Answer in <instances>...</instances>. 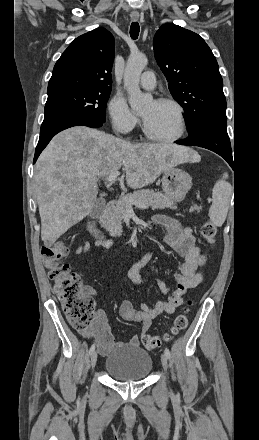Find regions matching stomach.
Wrapping results in <instances>:
<instances>
[{
	"instance_id": "obj_1",
	"label": "stomach",
	"mask_w": 259,
	"mask_h": 440,
	"mask_svg": "<svg viewBox=\"0 0 259 440\" xmlns=\"http://www.w3.org/2000/svg\"><path fill=\"white\" fill-rule=\"evenodd\" d=\"M191 186L192 178L187 172L174 167L163 172L162 188L164 194L174 202L183 201Z\"/></svg>"
}]
</instances>
